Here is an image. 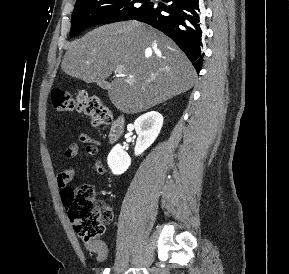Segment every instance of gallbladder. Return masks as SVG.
I'll list each match as a JSON object with an SVG mask.
<instances>
[{
  "instance_id": "bac80fb5",
  "label": "gallbladder",
  "mask_w": 289,
  "mask_h": 274,
  "mask_svg": "<svg viewBox=\"0 0 289 274\" xmlns=\"http://www.w3.org/2000/svg\"><path fill=\"white\" fill-rule=\"evenodd\" d=\"M99 87H101L102 89H108L109 87V83L106 81H102L100 83H98Z\"/></svg>"
}]
</instances>
